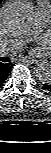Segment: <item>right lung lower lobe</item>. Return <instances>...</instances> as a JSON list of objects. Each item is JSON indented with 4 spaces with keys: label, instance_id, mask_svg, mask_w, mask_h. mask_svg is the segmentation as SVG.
I'll return each instance as SVG.
<instances>
[{
    "label": "right lung lower lobe",
    "instance_id": "obj_1",
    "mask_svg": "<svg viewBox=\"0 0 51 153\" xmlns=\"http://www.w3.org/2000/svg\"><path fill=\"white\" fill-rule=\"evenodd\" d=\"M12 67H13L12 63H6V64L0 63V88L5 83V80L7 79Z\"/></svg>",
    "mask_w": 51,
    "mask_h": 153
}]
</instances>
